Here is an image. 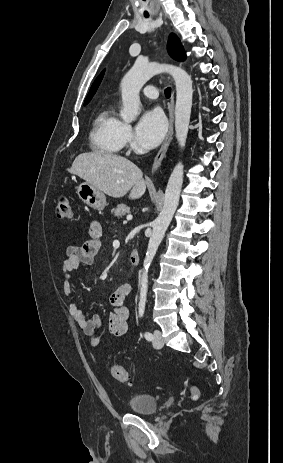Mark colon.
Here are the masks:
<instances>
[{
    "instance_id": "colon-1",
    "label": "colon",
    "mask_w": 283,
    "mask_h": 463,
    "mask_svg": "<svg viewBox=\"0 0 283 463\" xmlns=\"http://www.w3.org/2000/svg\"><path fill=\"white\" fill-rule=\"evenodd\" d=\"M56 215L60 220H71L73 218V208L68 196L62 195L58 198ZM112 377L121 383H131V377L124 367L113 364L110 367ZM189 396L192 400H197L200 396L198 388L194 385L187 386Z\"/></svg>"
}]
</instances>
